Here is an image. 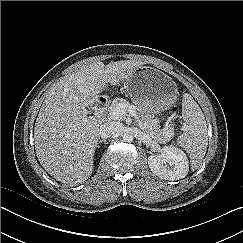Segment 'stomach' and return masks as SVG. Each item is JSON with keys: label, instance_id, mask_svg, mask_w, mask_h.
<instances>
[{"label": "stomach", "instance_id": "0dacf381", "mask_svg": "<svg viewBox=\"0 0 243 243\" xmlns=\"http://www.w3.org/2000/svg\"><path fill=\"white\" fill-rule=\"evenodd\" d=\"M132 102L152 113L168 109L177 99L176 83L164 72L142 65L132 70L124 80Z\"/></svg>", "mask_w": 243, "mask_h": 243}]
</instances>
